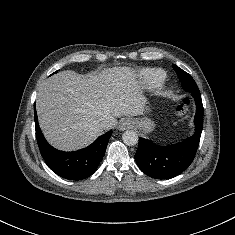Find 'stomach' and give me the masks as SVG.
<instances>
[{"instance_id":"obj_1","label":"stomach","mask_w":235,"mask_h":235,"mask_svg":"<svg viewBox=\"0 0 235 235\" xmlns=\"http://www.w3.org/2000/svg\"><path fill=\"white\" fill-rule=\"evenodd\" d=\"M134 124L136 127L143 130L145 133L151 132L155 127L154 122L147 117H144L142 119H134Z\"/></svg>"}]
</instances>
